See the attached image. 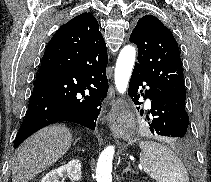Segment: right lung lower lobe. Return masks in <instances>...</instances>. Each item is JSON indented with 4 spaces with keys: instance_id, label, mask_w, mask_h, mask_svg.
Segmentation results:
<instances>
[{
    "instance_id": "right-lung-lower-lobe-1",
    "label": "right lung lower lobe",
    "mask_w": 211,
    "mask_h": 182,
    "mask_svg": "<svg viewBox=\"0 0 211 182\" xmlns=\"http://www.w3.org/2000/svg\"><path fill=\"white\" fill-rule=\"evenodd\" d=\"M107 63L104 39L75 43L68 37L54 35L43 55L14 148L34 132L59 121L95 130L108 91Z\"/></svg>"
}]
</instances>
